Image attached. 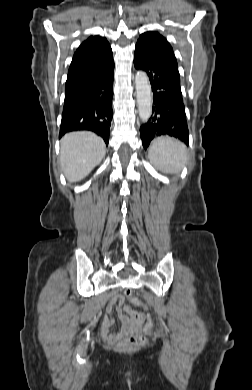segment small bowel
Instances as JSON below:
<instances>
[{
    "label": "small bowel",
    "mask_w": 252,
    "mask_h": 390,
    "mask_svg": "<svg viewBox=\"0 0 252 390\" xmlns=\"http://www.w3.org/2000/svg\"><path fill=\"white\" fill-rule=\"evenodd\" d=\"M118 302V319L121 323V329L119 332L111 333V327L113 324L112 318L108 315L103 322V330L107 334H111L113 338L126 336L132 333H138L143 327L144 321L147 319L144 313L135 311L128 305H123L124 298L118 294H114L112 300L107 305L106 311L111 313L113 305ZM140 305V303H137ZM147 323L145 324L146 329Z\"/></svg>",
    "instance_id": "small-bowel-1"
}]
</instances>
